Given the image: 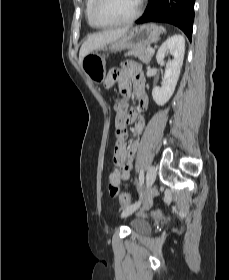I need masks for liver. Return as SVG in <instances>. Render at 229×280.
Here are the masks:
<instances>
[{"label": "liver", "instance_id": "obj_1", "mask_svg": "<svg viewBox=\"0 0 229 280\" xmlns=\"http://www.w3.org/2000/svg\"><path fill=\"white\" fill-rule=\"evenodd\" d=\"M129 31V28L108 30L100 33H95L86 39L82 44L79 52V62L89 53L105 46L106 44L115 41L125 35Z\"/></svg>", "mask_w": 229, "mask_h": 280}]
</instances>
